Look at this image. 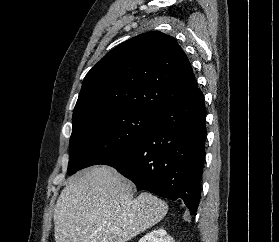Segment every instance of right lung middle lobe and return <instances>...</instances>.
Wrapping results in <instances>:
<instances>
[{
	"label": "right lung middle lobe",
	"instance_id": "right-lung-middle-lobe-1",
	"mask_svg": "<svg viewBox=\"0 0 279 242\" xmlns=\"http://www.w3.org/2000/svg\"><path fill=\"white\" fill-rule=\"evenodd\" d=\"M156 116L152 111L119 109L73 118L67 173L101 164L132 147L154 128Z\"/></svg>",
	"mask_w": 279,
	"mask_h": 242
}]
</instances>
